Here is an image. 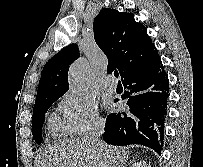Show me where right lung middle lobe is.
I'll return each instance as SVG.
<instances>
[{"mask_svg":"<svg viewBox=\"0 0 203 167\" xmlns=\"http://www.w3.org/2000/svg\"><path fill=\"white\" fill-rule=\"evenodd\" d=\"M59 97L46 99L34 106L32 116V134L37 144L42 143V126L45 113Z\"/></svg>","mask_w":203,"mask_h":167,"instance_id":"1","label":"right lung middle lobe"}]
</instances>
